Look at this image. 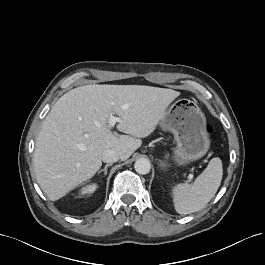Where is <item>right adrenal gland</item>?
I'll return each mask as SVG.
<instances>
[{
    "label": "right adrenal gland",
    "instance_id": "1",
    "mask_svg": "<svg viewBox=\"0 0 265 265\" xmlns=\"http://www.w3.org/2000/svg\"><path fill=\"white\" fill-rule=\"evenodd\" d=\"M112 164H106L105 167L103 169H101L100 171H98V175L101 173V172H104V176L107 174V169L109 166H111Z\"/></svg>",
    "mask_w": 265,
    "mask_h": 265
}]
</instances>
